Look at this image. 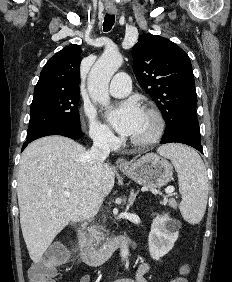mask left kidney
Masks as SVG:
<instances>
[{"instance_id": "5707ae66", "label": "left kidney", "mask_w": 232, "mask_h": 282, "mask_svg": "<svg viewBox=\"0 0 232 282\" xmlns=\"http://www.w3.org/2000/svg\"><path fill=\"white\" fill-rule=\"evenodd\" d=\"M179 227V222L171 219L168 214L157 215L153 219L148 245L154 260H159L173 248L179 236Z\"/></svg>"}]
</instances>
